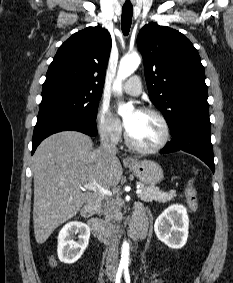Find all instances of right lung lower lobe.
Instances as JSON below:
<instances>
[{"instance_id":"right-lung-lower-lobe-1","label":"right lung lower lobe","mask_w":233,"mask_h":283,"mask_svg":"<svg viewBox=\"0 0 233 283\" xmlns=\"http://www.w3.org/2000/svg\"><path fill=\"white\" fill-rule=\"evenodd\" d=\"M68 130L79 131L90 136L97 134L95 121L73 118L63 114H49L37 119L32 139V154L43 139L54 133Z\"/></svg>"}]
</instances>
